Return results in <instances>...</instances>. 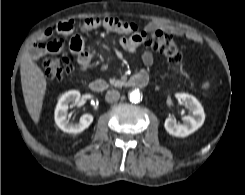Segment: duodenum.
<instances>
[{"instance_id": "obj_1", "label": "duodenum", "mask_w": 245, "mask_h": 195, "mask_svg": "<svg viewBox=\"0 0 245 195\" xmlns=\"http://www.w3.org/2000/svg\"><path fill=\"white\" fill-rule=\"evenodd\" d=\"M149 78L146 72L140 71L136 74L132 75L125 83L124 86L126 87H138V88H144L148 85ZM90 89L94 92H103L107 89H109L111 86L109 83H107L104 80L97 79L90 83L89 85Z\"/></svg>"}]
</instances>
